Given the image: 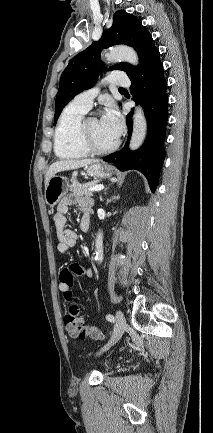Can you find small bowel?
<instances>
[{"label": "small bowel", "instance_id": "small-bowel-1", "mask_svg": "<svg viewBox=\"0 0 213 433\" xmlns=\"http://www.w3.org/2000/svg\"><path fill=\"white\" fill-rule=\"evenodd\" d=\"M71 206H77L82 211V216L79 222L80 229L85 231L89 229L91 222V200L85 197H77L74 195H67L64 197L61 202L57 206L56 214L54 215V223L57 230L58 236V244L57 251L61 254L68 253L77 243L78 234L76 231L69 227V219L67 217L68 210ZM68 268L72 269L75 273V276H83L86 278L92 277V270L90 268H86L81 266L78 263L71 264ZM72 287L60 283L59 289L61 291H68L72 289ZM89 332L96 331L97 335L94 337L95 339H102L104 337L103 332L94 326L87 327Z\"/></svg>", "mask_w": 213, "mask_h": 433}]
</instances>
